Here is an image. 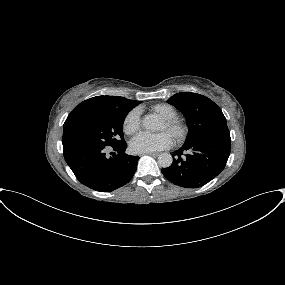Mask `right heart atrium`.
Here are the masks:
<instances>
[{"instance_id":"right-heart-atrium-1","label":"right heart atrium","mask_w":285,"mask_h":285,"mask_svg":"<svg viewBox=\"0 0 285 285\" xmlns=\"http://www.w3.org/2000/svg\"><path fill=\"white\" fill-rule=\"evenodd\" d=\"M140 129V116L137 109H133L124 119L123 130L127 135H132Z\"/></svg>"}]
</instances>
